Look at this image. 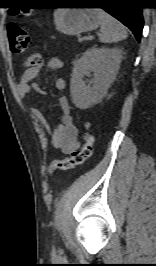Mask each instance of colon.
Segmentation results:
<instances>
[{
	"mask_svg": "<svg viewBox=\"0 0 156 266\" xmlns=\"http://www.w3.org/2000/svg\"><path fill=\"white\" fill-rule=\"evenodd\" d=\"M28 15V13L26 12ZM7 36L10 49L13 53L24 52L30 45L31 39L28 32L16 24L7 26ZM42 63V56L40 53L35 52L29 55L24 62L26 68H33ZM90 122L84 123L85 132L83 133V146L81 149L71 153L69 157L61 160H53L48 166L49 174H54L58 170H69L78 165L83 164L93 152L94 136L90 132Z\"/></svg>",
	"mask_w": 156,
	"mask_h": 266,
	"instance_id": "1",
	"label": "colon"
}]
</instances>
